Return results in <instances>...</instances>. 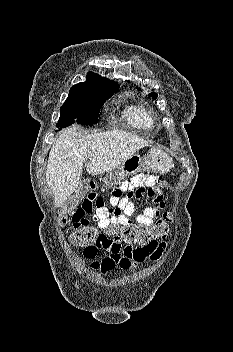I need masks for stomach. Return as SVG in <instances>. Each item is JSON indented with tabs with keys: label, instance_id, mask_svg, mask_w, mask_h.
Here are the masks:
<instances>
[{
	"label": "stomach",
	"instance_id": "1",
	"mask_svg": "<svg viewBox=\"0 0 233 352\" xmlns=\"http://www.w3.org/2000/svg\"><path fill=\"white\" fill-rule=\"evenodd\" d=\"M172 165V160L167 153L158 148H151L144 157L133 155L124 161L104 178V183L106 186L112 187L143 169L154 173H167Z\"/></svg>",
	"mask_w": 233,
	"mask_h": 352
}]
</instances>
